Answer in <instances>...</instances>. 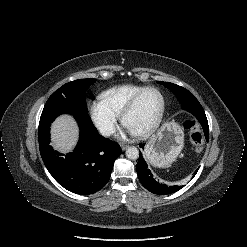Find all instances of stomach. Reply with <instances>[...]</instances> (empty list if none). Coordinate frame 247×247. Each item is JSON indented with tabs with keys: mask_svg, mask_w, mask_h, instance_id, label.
Segmentation results:
<instances>
[{
	"mask_svg": "<svg viewBox=\"0 0 247 247\" xmlns=\"http://www.w3.org/2000/svg\"><path fill=\"white\" fill-rule=\"evenodd\" d=\"M184 132L176 122L164 124L148 141L146 159L156 167H168L181 153Z\"/></svg>",
	"mask_w": 247,
	"mask_h": 247,
	"instance_id": "obj_1",
	"label": "stomach"
}]
</instances>
